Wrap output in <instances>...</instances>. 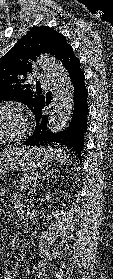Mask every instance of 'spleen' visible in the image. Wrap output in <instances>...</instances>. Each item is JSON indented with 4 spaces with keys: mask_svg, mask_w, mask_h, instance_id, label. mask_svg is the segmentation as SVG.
<instances>
[{
    "mask_svg": "<svg viewBox=\"0 0 113 279\" xmlns=\"http://www.w3.org/2000/svg\"><path fill=\"white\" fill-rule=\"evenodd\" d=\"M52 151L56 155V159L58 160V162H60V164L66 163L68 156L65 151L61 149H54Z\"/></svg>",
    "mask_w": 113,
    "mask_h": 279,
    "instance_id": "3e777b00",
    "label": "spleen"
}]
</instances>
